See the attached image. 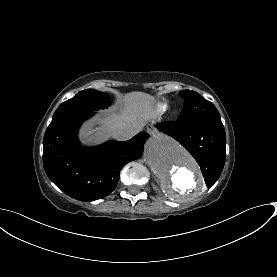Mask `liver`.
<instances>
[{
  "instance_id": "6515ba94",
  "label": "liver",
  "mask_w": 277,
  "mask_h": 277,
  "mask_svg": "<svg viewBox=\"0 0 277 277\" xmlns=\"http://www.w3.org/2000/svg\"><path fill=\"white\" fill-rule=\"evenodd\" d=\"M124 108L119 114H110L105 118L99 116L86 122L80 130V139L83 142L101 143L113 136L115 130L126 126H140L153 116V96L143 92H131L124 96ZM98 123L101 126L93 129ZM94 136H92V134Z\"/></svg>"
}]
</instances>
